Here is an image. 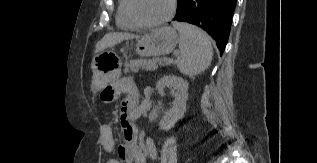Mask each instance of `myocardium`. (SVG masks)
<instances>
[{
  "label": "myocardium",
  "instance_id": "obj_1",
  "mask_svg": "<svg viewBox=\"0 0 317 163\" xmlns=\"http://www.w3.org/2000/svg\"><path fill=\"white\" fill-rule=\"evenodd\" d=\"M177 8V0H170V6L167 14L159 20L156 21H144L139 17L135 9V0H128V12L131 18L137 23L140 27L145 28H154L159 27L167 23L175 14Z\"/></svg>",
  "mask_w": 317,
  "mask_h": 163
}]
</instances>
